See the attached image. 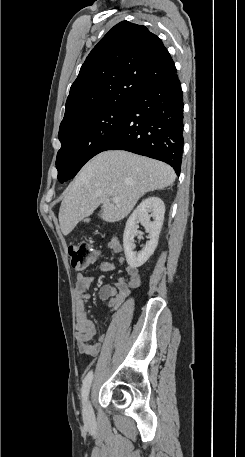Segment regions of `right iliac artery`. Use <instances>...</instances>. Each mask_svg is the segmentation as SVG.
I'll list each match as a JSON object with an SVG mask.
<instances>
[{"mask_svg": "<svg viewBox=\"0 0 245 457\" xmlns=\"http://www.w3.org/2000/svg\"><path fill=\"white\" fill-rule=\"evenodd\" d=\"M92 379H93V372L90 371L84 381H83V386H82V398H83V401H85L88 397V394H89V390H90V386H91V383H92Z\"/></svg>", "mask_w": 245, "mask_h": 457, "instance_id": "right-iliac-artery-1", "label": "right iliac artery"}]
</instances>
